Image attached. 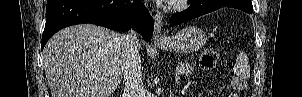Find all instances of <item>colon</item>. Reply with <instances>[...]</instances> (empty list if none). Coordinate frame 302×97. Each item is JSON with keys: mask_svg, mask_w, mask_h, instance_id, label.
<instances>
[{"mask_svg": "<svg viewBox=\"0 0 302 97\" xmlns=\"http://www.w3.org/2000/svg\"><path fill=\"white\" fill-rule=\"evenodd\" d=\"M217 60L218 54L216 50L212 48L206 49L200 58V68L203 71H210L216 66ZM231 86L236 93H239L246 89V82L242 78L235 77L232 79ZM234 97H237V95H234Z\"/></svg>", "mask_w": 302, "mask_h": 97, "instance_id": "5ec220e1", "label": "colon"}]
</instances>
